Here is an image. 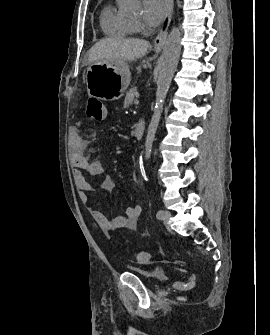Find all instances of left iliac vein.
<instances>
[{
    "label": "left iliac vein",
    "mask_w": 270,
    "mask_h": 335,
    "mask_svg": "<svg viewBox=\"0 0 270 335\" xmlns=\"http://www.w3.org/2000/svg\"><path fill=\"white\" fill-rule=\"evenodd\" d=\"M170 217H171L170 212L165 210V211H163V214L161 216V220L166 223L169 220Z\"/></svg>",
    "instance_id": "4c4485c4"
}]
</instances>
